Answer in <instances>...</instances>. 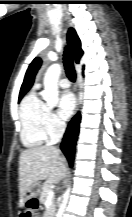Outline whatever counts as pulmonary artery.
<instances>
[{
  "mask_svg": "<svg viewBox=\"0 0 132 217\" xmlns=\"http://www.w3.org/2000/svg\"><path fill=\"white\" fill-rule=\"evenodd\" d=\"M59 86H60L61 88H68V87L70 86V84H69V81L64 78V79H61V80L59 81Z\"/></svg>",
  "mask_w": 132,
  "mask_h": 217,
  "instance_id": "pulmonary-artery-1",
  "label": "pulmonary artery"
}]
</instances>
